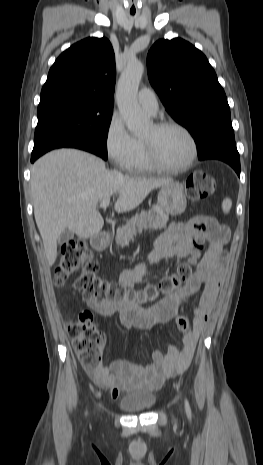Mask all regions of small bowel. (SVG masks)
<instances>
[{
	"label": "small bowel",
	"instance_id": "obj_1",
	"mask_svg": "<svg viewBox=\"0 0 263 465\" xmlns=\"http://www.w3.org/2000/svg\"><path fill=\"white\" fill-rule=\"evenodd\" d=\"M227 237V232L219 226L203 227L199 218L186 223H172L159 236L145 262L121 274L120 284L133 288L142 280L148 265L164 259L188 257L199 249L198 239H207L208 245L203 250L195 273L176 295L163 299L150 308H142L133 303L113 305L86 299L87 305L104 319L117 314L123 328L137 327L150 331L157 325L176 320L181 306L201 290L199 302L194 309V329L183 335L181 349L175 346H168L165 352L155 349L151 353V360L145 363H137L130 358L112 360L99 370L89 372L96 385L109 389L112 397L117 398L122 392L133 389H159L167 378L188 368L199 334L216 301L222 279L223 249Z\"/></svg>",
	"mask_w": 263,
	"mask_h": 465
}]
</instances>
